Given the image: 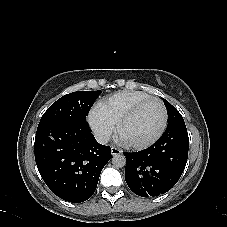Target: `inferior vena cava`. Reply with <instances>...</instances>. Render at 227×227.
Segmentation results:
<instances>
[{
	"instance_id": "inferior-vena-cava-1",
	"label": "inferior vena cava",
	"mask_w": 227,
	"mask_h": 227,
	"mask_svg": "<svg viewBox=\"0 0 227 227\" xmlns=\"http://www.w3.org/2000/svg\"><path fill=\"white\" fill-rule=\"evenodd\" d=\"M95 139L100 144H107L110 141V135L104 132L95 133Z\"/></svg>"
}]
</instances>
